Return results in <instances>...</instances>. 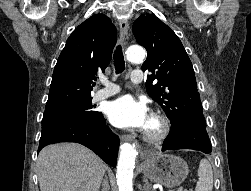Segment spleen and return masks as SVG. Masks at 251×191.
I'll list each match as a JSON object with an SVG mask.
<instances>
[{"mask_svg":"<svg viewBox=\"0 0 251 191\" xmlns=\"http://www.w3.org/2000/svg\"><path fill=\"white\" fill-rule=\"evenodd\" d=\"M199 179L195 191H212L213 187V169L210 161L203 157L198 167Z\"/></svg>","mask_w":251,"mask_h":191,"instance_id":"spleen-1","label":"spleen"}]
</instances>
